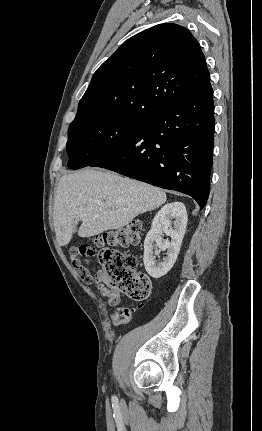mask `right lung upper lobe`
I'll return each mask as SVG.
<instances>
[{"label":"right lung upper lobe","instance_id":"cb5924a9","mask_svg":"<svg viewBox=\"0 0 262 431\" xmlns=\"http://www.w3.org/2000/svg\"><path fill=\"white\" fill-rule=\"evenodd\" d=\"M210 85L204 54L186 28L165 23L125 41L94 73L70 124L143 119Z\"/></svg>","mask_w":262,"mask_h":431}]
</instances>
